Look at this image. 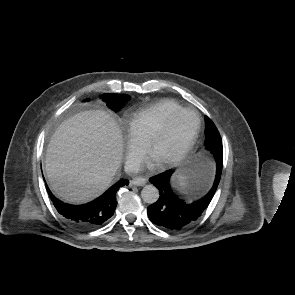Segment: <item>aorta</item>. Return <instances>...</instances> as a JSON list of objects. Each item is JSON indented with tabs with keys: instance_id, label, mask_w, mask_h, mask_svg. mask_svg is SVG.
<instances>
[{
	"instance_id": "aorta-1",
	"label": "aorta",
	"mask_w": 295,
	"mask_h": 295,
	"mask_svg": "<svg viewBox=\"0 0 295 295\" xmlns=\"http://www.w3.org/2000/svg\"><path fill=\"white\" fill-rule=\"evenodd\" d=\"M144 202L153 204L159 199V190L154 185H146L141 191Z\"/></svg>"
}]
</instances>
